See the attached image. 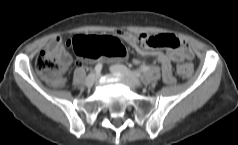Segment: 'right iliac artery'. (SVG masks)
<instances>
[{
	"mask_svg": "<svg viewBox=\"0 0 238 145\" xmlns=\"http://www.w3.org/2000/svg\"><path fill=\"white\" fill-rule=\"evenodd\" d=\"M101 69H102V64H101V63H98V64L95 66L94 71H95L96 73H99V72L101 71Z\"/></svg>",
	"mask_w": 238,
	"mask_h": 145,
	"instance_id": "82829eb1",
	"label": "right iliac artery"
}]
</instances>
